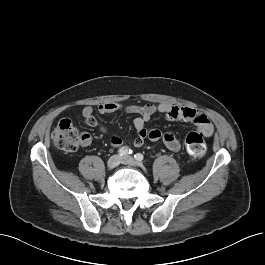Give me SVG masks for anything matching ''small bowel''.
Returning <instances> with one entry per match:
<instances>
[{
    "label": "small bowel",
    "mask_w": 265,
    "mask_h": 265,
    "mask_svg": "<svg viewBox=\"0 0 265 265\" xmlns=\"http://www.w3.org/2000/svg\"><path fill=\"white\" fill-rule=\"evenodd\" d=\"M118 110H124L129 114L139 115L133 121L134 128L137 132V136L132 140V145L140 147L146 140L162 141L165 146L173 151L178 152L181 148L179 140L171 132H163L160 129H150L145 127L151 117L156 113L164 114L168 119L172 120H184L194 123L198 130L206 136H210L213 133V126L209 118L200 111L191 107H178L175 105L162 103V104H145L136 105L128 104L122 105L119 103H104L98 106V111L101 114H110ZM82 116L85 123L90 127H98L100 131L108 132V127L104 124H100L94 116V110L91 106H86L82 110ZM92 141L90 134L82 133L81 143L83 146H88ZM110 143L113 147H121L125 141L119 136H112Z\"/></svg>",
    "instance_id": "1"
}]
</instances>
